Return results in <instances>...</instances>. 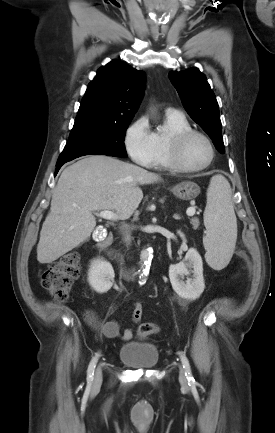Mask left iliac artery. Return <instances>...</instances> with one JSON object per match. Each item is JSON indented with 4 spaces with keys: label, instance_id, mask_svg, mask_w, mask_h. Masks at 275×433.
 Wrapping results in <instances>:
<instances>
[{
    "label": "left iliac artery",
    "instance_id": "1",
    "mask_svg": "<svg viewBox=\"0 0 275 433\" xmlns=\"http://www.w3.org/2000/svg\"><path fill=\"white\" fill-rule=\"evenodd\" d=\"M180 355V359L181 362L183 364V368L185 369V375L187 376V379L189 382H195L193 376H192V372H191V367L189 364V360L187 359L186 355L183 354L182 352H179Z\"/></svg>",
    "mask_w": 275,
    "mask_h": 433
}]
</instances>
